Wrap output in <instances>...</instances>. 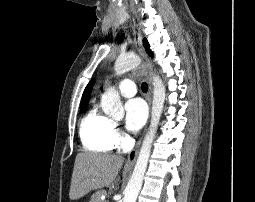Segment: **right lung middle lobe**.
Wrapping results in <instances>:
<instances>
[{"label": "right lung middle lobe", "mask_w": 255, "mask_h": 202, "mask_svg": "<svg viewBox=\"0 0 255 202\" xmlns=\"http://www.w3.org/2000/svg\"><path fill=\"white\" fill-rule=\"evenodd\" d=\"M85 106H86V104H83V105H81V110H83L84 108H85Z\"/></svg>", "instance_id": "obj_1"}]
</instances>
